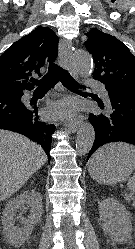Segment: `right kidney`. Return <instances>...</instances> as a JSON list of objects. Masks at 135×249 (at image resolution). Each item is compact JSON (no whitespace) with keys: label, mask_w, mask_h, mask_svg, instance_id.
Segmentation results:
<instances>
[{"label":"right kidney","mask_w":135,"mask_h":249,"mask_svg":"<svg viewBox=\"0 0 135 249\" xmlns=\"http://www.w3.org/2000/svg\"><path fill=\"white\" fill-rule=\"evenodd\" d=\"M25 206L31 207L28 218L17 215L18 209ZM42 209V196L35 191L23 192L8 202L1 221L4 236L12 246L20 247L29 238L35 226L41 222ZM15 220H20L24 226L17 228L14 226Z\"/></svg>","instance_id":"ca27d5eb"}]
</instances>
